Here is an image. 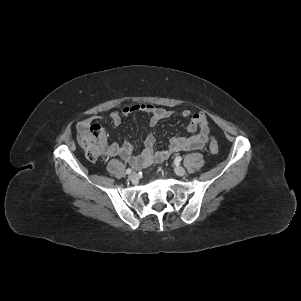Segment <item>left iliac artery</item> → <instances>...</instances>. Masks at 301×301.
Listing matches in <instances>:
<instances>
[{
    "instance_id": "obj_1",
    "label": "left iliac artery",
    "mask_w": 301,
    "mask_h": 301,
    "mask_svg": "<svg viewBox=\"0 0 301 301\" xmlns=\"http://www.w3.org/2000/svg\"><path fill=\"white\" fill-rule=\"evenodd\" d=\"M181 161H182V157L177 156V157L175 158V163H179V162H181Z\"/></svg>"
}]
</instances>
